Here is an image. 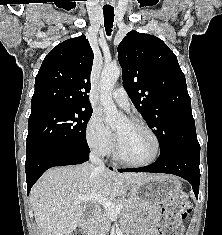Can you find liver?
<instances>
[{
  "instance_id": "obj_1",
  "label": "liver",
  "mask_w": 222,
  "mask_h": 235,
  "mask_svg": "<svg viewBox=\"0 0 222 235\" xmlns=\"http://www.w3.org/2000/svg\"><path fill=\"white\" fill-rule=\"evenodd\" d=\"M155 176L115 173L92 163L47 170L32 187L30 202L40 235H71L82 221L84 208L78 198L97 193L105 198L126 196L134 185Z\"/></svg>"
}]
</instances>
